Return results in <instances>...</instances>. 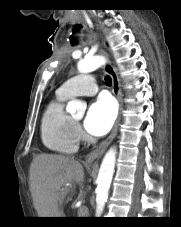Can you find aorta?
Listing matches in <instances>:
<instances>
[{"instance_id":"aorta-1","label":"aorta","mask_w":181,"mask_h":227,"mask_svg":"<svg viewBox=\"0 0 181 227\" xmlns=\"http://www.w3.org/2000/svg\"><path fill=\"white\" fill-rule=\"evenodd\" d=\"M104 64V58L101 56H93L80 60L77 64L80 73H89ZM86 104L79 100H72L68 103L66 110L71 114L82 116L85 112ZM116 149L110 148L105 154L97 178L96 188V217H100L104 209V205L108 198V191L111 185L115 170Z\"/></svg>"}]
</instances>
